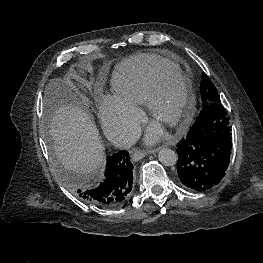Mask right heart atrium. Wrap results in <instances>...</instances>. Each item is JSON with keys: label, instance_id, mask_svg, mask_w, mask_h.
I'll use <instances>...</instances> for the list:
<instances>
[{"label": "right heart atrium", "instance_id": "1", "mask_svg": "<svg viewBox=\"0 0 263 263\" xmlns=\"http://www.w3.org/2000/svg\"><path fill=\"white\" fill-rule=\"evenodd\" d=\"M99 115L104 130L123 142H129L136 136L142 119L137 108L112 96L100 102Z\"/></svg>", "mask_w": 263, "mask_h": 263}]
</instances>
